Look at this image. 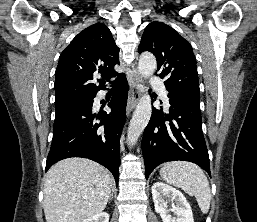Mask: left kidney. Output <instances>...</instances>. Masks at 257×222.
<instances>
[{"label":"left kidney","instance_id":"left-kidney-1","mask_svg":"<svg viewBox=\"0 0 257 222\" xmlns=\"http://www.w3.org/2000/svg\"><path fill=\"white\" fill-rule=\"evenodd\" d=\"M152 196L155 211L160 214L163 222H194L193 213L185 196L177 189L162 182L152 186ZM172 208L168 210V202ZM174 212L176 217H171L169 212Z\"/></svg>","mask_w":257,"mask_h":222}]
</instances>
